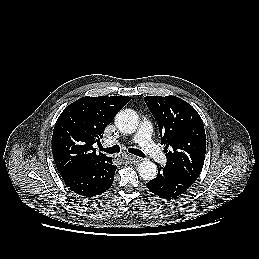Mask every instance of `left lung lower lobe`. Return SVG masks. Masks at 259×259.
<instances>
[{"label": "left lung lower lobe", "instance_id": "1", "mask_svg": "<svg viewBox=\"0 0 259 259\" xmlns=\"http://www.w3.org/2000/svg\"><path fill=\"white\" fill-rule=\"evenodd\" d=\"M157 164V163H156ZM158 167L157 177L147 183V188L162 198L180 196L193 184L169 166Z\"/></svg>", "mask_w": 259, "mask_h": 259}]
</instances>
